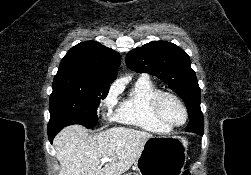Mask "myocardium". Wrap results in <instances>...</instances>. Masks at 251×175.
Listing matches in <instances>:
<instances>
[{
    "instance_id": "myocardium-1",
    "label": "myocardium",
    "mask_w": 251,
    "mask_h": 175,
    "mask_svg": "<svg viewBox=\"0 0 251 175\" xmlns=\"http://www.w3.org/2000/svg\"><path fill=\"white\" fill-rule=\"evenodd\" d=\"M166 96H171V97H174L175 99H177L181 105L183 106L184 108V111H185V121L181 124V125H178V126H174L172 124H170L161 114V111H160V104H161V101L164 97ZM151 110H152V113L153 115L155 116V118L163 125L165 126L167 129L171 130V131H176V130H179L181 128H184L188 121H189V118H190V113H189V108L188 106L186 105L185 101L183 100V98L175 93V92H172V91H160L159 93H157L152 101H151Z\"/></svg>"
}]
</instances>
